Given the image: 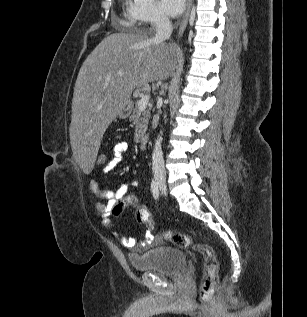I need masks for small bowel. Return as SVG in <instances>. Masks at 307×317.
Masks as SVG:
<instances>
[{"label":"small bowel","instance_id":"obj_1","mask_svg":"<svg viewBox=\"0 0 307 317\" xmlns=\"http://www.w3.org/2000/svg\"><path fill=\"white\" fill-rule=\"evenodd\" d=\"M130 150V144L126 141H119L113 147V156L111 160L102 168L103 173L111 172L121 161L123 156ZM137 185L136 181L129 183H123L116 189H101L97 179L93 178L90 180V190L97 196V200L94 202V208L99 216L104 218L103 224L105 228L112 230V223L108 219L110 212L117 201L122 199L131 187ZM106 200V201H103ZM117 234V232H114ZM153 235L150 232H146L143 240L138 241L135 238L122 236L121 243L124 247L134 248H145L153 241Z\"/></svg>","mask_w":307,"mask_h":317}]
</instances>
